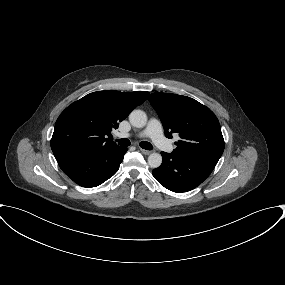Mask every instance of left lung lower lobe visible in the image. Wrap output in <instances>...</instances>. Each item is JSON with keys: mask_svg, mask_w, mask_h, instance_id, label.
<instances>
[{"mask_svg": "<svg viewBox=\"0 0 285 285\" xmlns=\"http://www.w3.org/2000/svg\"><path fill=\"white\" fill-rule=\"evenodd\" d=\"M162 165L153 170L154 178L173 192H186L200 185L214 167L177 154L161 152Z\"/></svg>", "mask_w": 285, "mask_h": 285, "instance_id": "1", "label": "left lung lower lobe"}]
</instances>
